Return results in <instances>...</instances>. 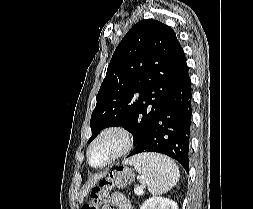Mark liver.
Segmentation results:
<instances>
[{
  "label": "liver",
  "mask_w": 253,
  "mask_h": 209,
  "mask_svg": "<svg viewBox=\"0 0 253 209\" xmlns=\"http://www.w3.org/2000/svg\"><path fill=\"white\" fill-rule=\"evenodd\" d=\"M104 174H96L94 175L83 187L80 192V204L83 203L84 198L87 196L89 190L97 184L100 178H102Z\"/></svg>",
  "instance_id": "6515ba94"
}]
</instances>
